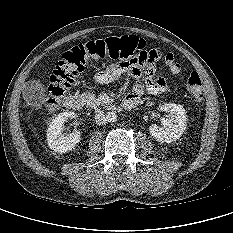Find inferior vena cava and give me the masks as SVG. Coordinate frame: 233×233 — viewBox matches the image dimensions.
Segmentation results:
<instances>
[{"mask_svg": "<svg viewBox=\"0 0 233 233\" xmlns=\"http://www.w3.org/2000/svg\"><path fill=\"white\" fill-rule=\"evenodd\" d=\"M107 121L105 113L99 109L95 110V122L98 125H104Z\"/></svg>", "mask_w": 233, "mask_h": 233, "instance_id": "1", "label": "inferior vena cava"}]
</instances>
